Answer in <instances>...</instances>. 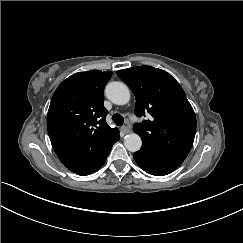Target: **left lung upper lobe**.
I'll list each match as a JSON object with an SVG mask.
<instances>
[{
  "instance_id": "obj_1",
  "label": "left lung upper lobe",
  "mask_w": 243,
  "mask_h": 243,
  "mask_svg": "<svg viewBox=\"0 0 243 243\" xmlns=\"http://www.w3.org/2000/svg\"><path fill=\"white\" fill-rule=\"evenodd\" d=\"M131 88L138 117L152 118L133 127L142 147L161 155L184 160L194 141L196 117L180 84L167 72L150 66L117 71Z\"/></svg>"
}]
</instances>
